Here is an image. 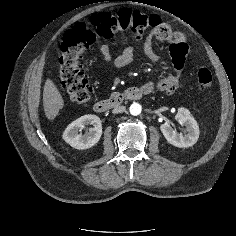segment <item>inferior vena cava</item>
Segmentation results:
<instances>
[{"label":"inferior vena cava","mask_w":236,"mask_h":236,"mask_svg":"<svg viewBox=\"0 0 236 236\" xmlns=\"http://www.w3.org/2000/svg\"><path fill=\"white\" fill-rule=\"evenodd\" d=\"M126 111L125 106H117L112 110V113H123Z\"/></svg>","instance_id":"602c4592"}]
</instances>
